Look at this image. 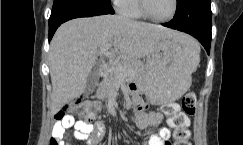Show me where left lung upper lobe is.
<instances>
[{"label":"left lung upper lobe","mask_w":243,"mask_h":145,"mask_svg":"<svg viewBox=\"0 0 243 145\" xmlns=\"http://www.w3.org/2000/svg\"><path fill=\"white\" fill-rule=\"evenodd\" d=\"M176 12L181 14L188 24L205 34H211L210 0H177Z\"/></svg>","instance_id":"left-lung-upper-lobe-1"}]
</instances>
